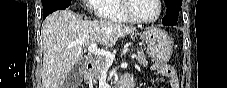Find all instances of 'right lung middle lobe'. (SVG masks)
I'll return each mask as SVG.
<instances>
[{
    "label": "right lung middle lobe",
    "mask_w": 227,
    "mask_h": 88,
    "mask_svg": "<svg viewBox=\"0 0 227 88\" xmlns=\"http://www.w3.org/2000/svg\"><path fill=\"white\" fill-rule=\"evenodd\" d=\"M70 4L71 0H42L43 15L46 17L53 11L69 7Z\"/></svg>",
    "instance_id": "1"
}]
</instances>
